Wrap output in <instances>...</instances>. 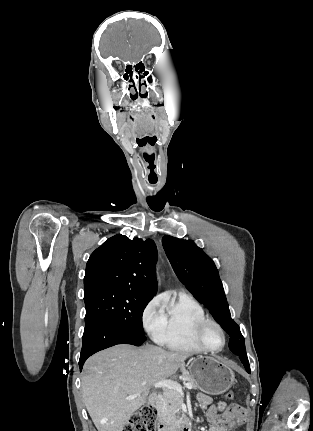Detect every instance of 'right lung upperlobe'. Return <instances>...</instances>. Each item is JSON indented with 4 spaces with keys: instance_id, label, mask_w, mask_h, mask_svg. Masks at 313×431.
<instances>
[{
    "instance_id": "obj_1",
    "label": "right lung upper lobe",
    "mask_w": 313,
    "mask_h": 431,
    "mask_svg": "<svg viewBox=\"0 0 313 431\" xmlns=\"http://www.w3.org/2000/svg\"><path fill=\"white\" fill-rule=\"evenodd\" d=\"M154 241L115 235L90 256L84 277V297L108 289H128L152 297L157 292Z\"/></svg>"
}]
</instances>
